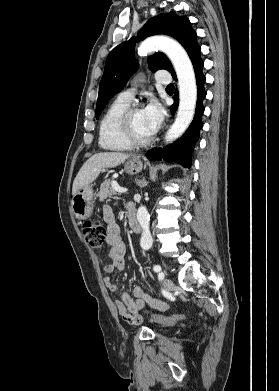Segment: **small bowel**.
Listing matches in <instances>:
<instances>
[{"label": "small bowel", "mask_w": 279, "mask_h": 391, "mask_svg": "<svg viewBox=\"0 0 279 391\" xmlns=\"http://www.w3.org/2000/svg\"><path fill=\"white\" fill-rule=\"evenodd\" d=\"M103 218L107 224L106 243L109 256V262L103 267V271L113 274L125 268L126 247L120 237V229L115 221L113 210L109 205L103 207ZM104 283L111 292L120 291V286L109 276L104 278ZM115 305L121 317L131 325H138L143 321L146 305L158 311L167 309L163 301L151 297L140 286L134 287L132 296L123 292L121 298L115 301Z\"/></svg>", "instance_id": "small-bowel-1"}]
</instances>
